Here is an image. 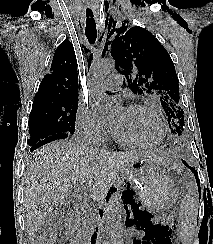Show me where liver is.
<instances>
[{"mask_svg": "<svg viewBox=\"0 0 213 244\" xmlns=\"http://www.w3.org/2000/svg\"><path fill=\"white\" fill-rule=\"evenodd\" d=\"M139 159L170 164L160 153H110L70 141H55L38 149L25 174L23 206L28 234L38 231L55 207L66 206L79 183L88 182L92 200H103L119 174Z\"/></svg>", "mask_w": 213, "mask_h": 244, "instance_id": "1", "label": "liver"}]
</instances>
